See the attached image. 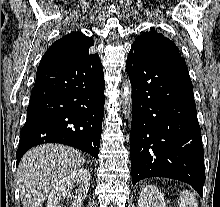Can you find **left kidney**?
<instances>
[{
    "instance_id": "5707ae66",
    "label": "left kidney",
    "mask_w": 220,
    "mask_h": 207,
    "mask_svg": "<svg viewBox=\"0 0 220 207\" xmlns=\"http://www.w3.org/2000/svg\"><path fill=\"white\" fill-rule=\"evenodd\" d=\"M139 207H166L164 196L161 191L152 185H148L141 190L138 199Z\"/></svg>"
}]
</instances>
